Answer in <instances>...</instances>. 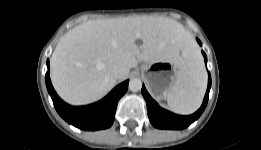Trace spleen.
<instances>
[{
  "label": "spleen",
  "instance_id": "1",
  "mask_svg": "<svg viewBox=\"0 0 261 150\" xmlns=\"http://www.w3.org/2000/svg\"><path fill=\"white\" fill-rule=\"evenodd\" d=\"M207 86V75L199 49L189 50V61L180 70L173 88L167 93L169 108L178 114L194 113L201 105Z\"/></svg>",
  "mask_w": 261,
  "mask_h": 150
}]
</instances>
